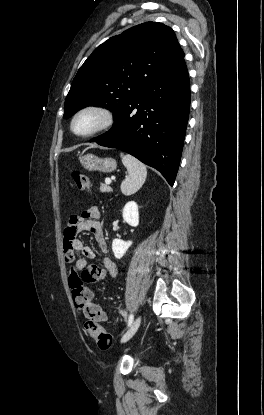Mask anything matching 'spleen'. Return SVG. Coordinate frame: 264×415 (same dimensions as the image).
<instances>
[{"mask_svg":"<svg viewBox=\"0 0 264 415\" xmlns=\"http://www.w3.org/2000/svg\"><path fill=\"white\" fill-rule=\"evenodd\" d=\"M128 175L121 183V192L126 195L136 193L144 184L147 176L146 166L129 154H120Z\"/></svg>","mask_w":264,"mask_h":415,"instance_id":"obj_1","label":"spleen"}]
</instances>
